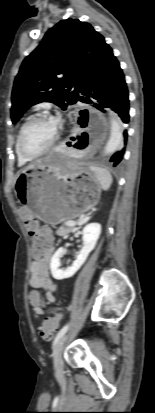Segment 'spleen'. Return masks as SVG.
Returning a JSON list of instances; mask_svg holds the SVG:
<instances>
[{
    "instance_id": "1",
    "label": "spleen",
    "mask_w": 155,
    "mask_h": 413,
    "mask_svg": "<svg viewBox=\"0 0 155 413\" xmlns=\"http://www.w3.org/2000/svg\"><path fill=\"white\" fill-rule=\"evenodd\" d=\"M89 169L95 174L99 180L103 190H108L112 183V176L110 172L104 168L97 166H90Z\"/></svg>"
}]
</instances>
